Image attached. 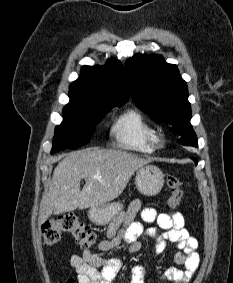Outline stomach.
<instances>
[{
	"label": "stomach",
	"mask_w": 233,
	"mask_h": 283,
	"mask_svg": "<svg viewBox=\"0 0 233 283\" xmlns=\"http://www.w3.org/2000/svg\"><path fill=\"white\" fill-rule=\"evenodd\" d=\"M135 183L138 191L145 196L157 195L164 185V174L154 165H144L136 172ZM123 209L119 202L91 207L88 216L98 225L110 223Z\"/></svg>",
	"instance_id": "1"
}]
</instances>
